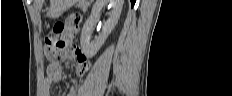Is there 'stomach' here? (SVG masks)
Here are the masks:
<instances>
[{
	"label": "stomach",
	"instance_id": "obj_1",
	"mask_svg": "<svg viewBox=\"0 0 232 96\" xmlns=\"http://www.w3.org/2000/svg\"><path fill=\"white\" fill-rule=\"evenodd\" d=\"M72 4V0H52L49 9L51 18H57L62 15Z\"/></svg>",
	"mask_w": 232,
	"mask_h": 96
}]
</instances>
